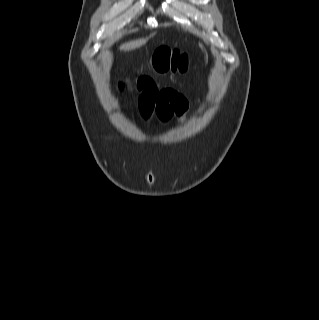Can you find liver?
<instances>
[{
    "label": "liver",
    "mask_w": 319,
    "mask_h": 320,
    "mask_svg": "<svg viewBox=\"0 0 319 320\" xmlns=\"http://www.w3.org/2000/svg\"><path fill=\"white\" fill-rule=\"evenodd\" d=\"M154 34L150 35L147 38H141V39H137V40H133L127 43L122 44L119 49L122 51H131V50H135L137 48L142 47L150 37H152Z\"/></svg>",
    "instance_id": "obj_1"
}]
</instances>
